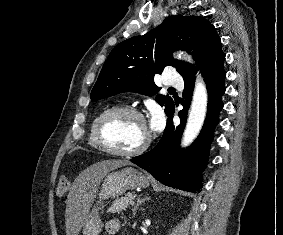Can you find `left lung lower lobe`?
Instances as JSON below:
<instances>
[{"mask_svg": "<svg viewBox=\"0 0 283 235\" xmlns=\"http://www.w3.org/2000/svg\"><path fill=\"white\" fill-rule=\"evenodd\" d=\"M202 75L208 91V108L203 128L195 142L186 150L179 147L194 88V78H189L184 80V109L178 113L180 125L173 124L174 106L168 116L164 134L155 148L131 159L132 163L148 171L164 185L194 193L201 191L200 170L207 164L214 128L218 124V115L223 107L221 98L225 92L226 76L223 62Z\"/></svg>", "mask_w": 283, "mask_h": 235, "instance_id": "obj_1", "label": "left lung lower lobe"}]
</instances>
